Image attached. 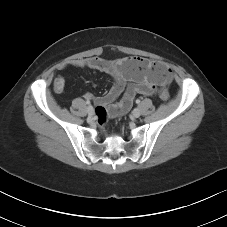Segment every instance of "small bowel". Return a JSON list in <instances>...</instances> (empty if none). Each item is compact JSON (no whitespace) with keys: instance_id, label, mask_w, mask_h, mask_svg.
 <instances>
[{"instance_id":"obj_1","label":"small bowel","mask_w":227,"mask_h":227,"mask_svg":"<svg viewBox=\"0 0 227 227\" xmlns=\"http://www.w3.org/2000/svg\"><path fill=\"white\" fill-rule=\"evenodd\" d=\"M89 68L110 75L113 85L109 91L99 97L86 94L87 99L102 106L108 107L111 117H118L130 110L137 94L152 96L156 93L157 86L167 83L170 76L152 67V62L139 57H123L109 60L102 57H86L74 59L66 67ZM65 86V78L58 76L53 83L54 91L60 93ZM120 100L116 102L117 98Z\"/></svg>"}]
</instances>
